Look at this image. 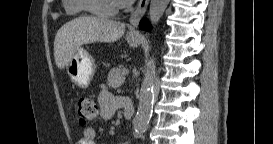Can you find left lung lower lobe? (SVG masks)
I'll return each instance as SVG.
<instances>
[{
  "mask_svg": "<svg viewBox=\"0 0 273 144\" xmlns=\"http://www.w3.org/2000/svg\"><path fill=\"white\" fill-rule=\"evenodd\" d=\"M140 28L141 29H145V30H150V24L149 22L147 21V19H143L141 22H140Z\"/></svg>",
  "mask_w": 273,
  "mask_h": 144,
  "instance_id": "1",
  "label": "left lung lower lobe"
}]
</instances>
